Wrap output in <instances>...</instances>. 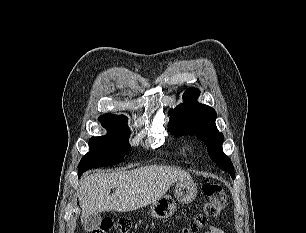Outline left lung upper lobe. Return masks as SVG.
<instances>
[{
    "label": "left lung upper lobe",
    "mask_w": 306,
    "mask_h": 233,
    "mask_svg": "<svg viewBox=\"0 0 306 233\" xmlns=\"http://www.w3.org/2000/svg\"><path fill=\"white\" fill-rule=\"evenodd\" d=\"M199 93L193 87L184 92V103L170 111L169 130L176 136L196 135L206 144L212 161L234 178L233 164L222 149L224 136L215 125L216 112L213 108L198 103Z\"/></svg>",
    "instance_id": "5c2ea615"
}]
</instances>
